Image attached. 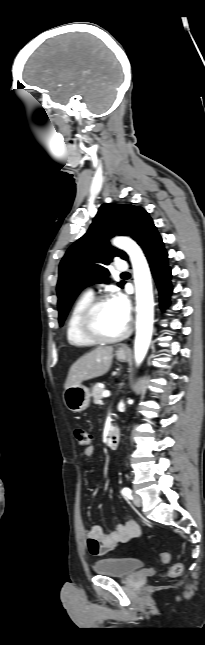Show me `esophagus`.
Segmentation results:
<instances>
[{"label": "esophagus", "instance_id": "esophagus-1", "mask_svg": "<svg viewBox=\"0 0 205 645\" xmlns=\"http://www.w3.org/2000/svg\"><path fill=\"white\" fill-rule=\"evenodd\" d=\"M124 351H125V348H123V347H122V348L120 349V352H124Z\"/></svg>", "mask_w": 205, "mask_h": 645}]
</instances>
